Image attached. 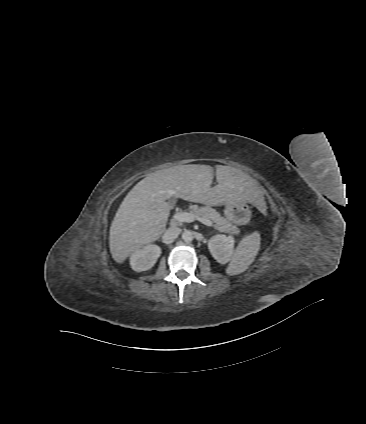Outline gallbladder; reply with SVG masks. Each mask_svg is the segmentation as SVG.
Masks as SVG:
<instances>
[{"mask_svg": "<svg viewBox=\"0 0 366 424\" xmlns=\"http://www.w3.org/2000/svg\"><path fill=\"white\" fill-rule=\"evenodd\" d=\"M174 201H175V199H174V198H170V200H169L170 204H173V203H174Z\"/></svg>", "mask_w": 366, "mask_h": 424, "instance_id": "1", "label": "gallbladder"}]
</instances>
